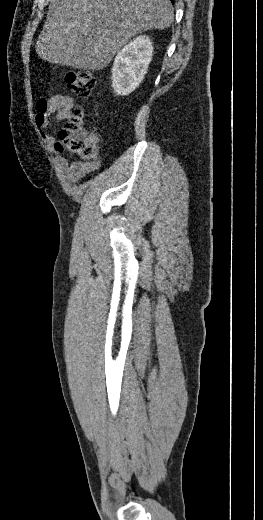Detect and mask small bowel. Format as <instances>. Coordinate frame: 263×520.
Masks as SVG:
<instances>
[{"label": "small bowel", "mask_w": 263, "mask_h": 520, "mask_svg": "<svg viewBox=\"0 0 263 520\" xmlns=\"http://www.w3.org/2000/svg\"><path fill=\"white\" fill-rule=\"evenodd\" d=\"M74 106V100L69 95L53 94L48 97L40 98L36 103L35 123L41 131L42 138L55 154L54 161L58 169L69 183H76L90 172L100 166L99 160L91 162L74 161L68 162L66 158L59 154L56 141L48 132L50 117L56 121H63L69 118L70 110ZM88 138L98 144V137L94 133H88Z\"/></svg>", "instance_id": "small-bowel-1"}]
</instances>
